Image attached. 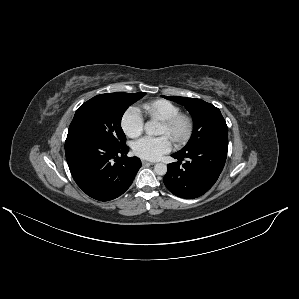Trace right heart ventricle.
<instances>
[{"label": "right heart ventricle", "mask_w": 299, "mask_h": 299, "mask_svg": "<svg viewBox=\"0 0 299 299\" xmlns=\"http://www.w3.org/2000/svg\"><path fill=\"white\" fill-rule=\"evenodd\" d=\"M142 109L151 119L159 121L168 120L180 113L179 106L164 99L146 102Z\"/></svg>", "instance_id": "e07e8e85"}]
</instances>
